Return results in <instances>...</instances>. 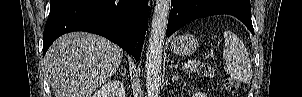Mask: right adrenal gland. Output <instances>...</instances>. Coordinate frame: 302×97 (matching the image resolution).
I'll return each mask as SVG.
<instances>
[{"label": "right adrenal gland", "mask_w": 302, "mask_h": 97, "mask_svg": "<svg viewBox=\"0 0 302 97\" xmlns=\"http://www.w3.org/2000/svg\"><path fill=\"white\" fill-rule=\"evenodd\" d=\"M120 69H122L123 72L126 73V69H125V67L122 64L120 65Z\"/></svg>", "instance_id": "right-adrenal-gland-1"}]
</instances>
